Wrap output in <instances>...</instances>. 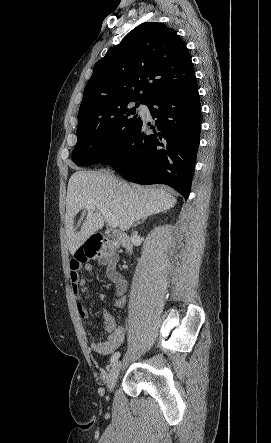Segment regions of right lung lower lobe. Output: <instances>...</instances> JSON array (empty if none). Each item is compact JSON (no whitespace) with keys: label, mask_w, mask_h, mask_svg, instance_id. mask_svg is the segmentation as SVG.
Masks as SVG:
<instances>
[{"label":"right lung lower lobe","mask_w":271,"mask_h":443,"mask_svg":"<svg viewBox=\"0 0 271 443\" xmlns=\"http://www.w3.org/2000/svg\"><path fill=\"white\" fill-rule=\"evenodd\" d=\"M146 105L158 131L147 135L150 124L142 121L104 164L131 182L167 184L187 199L201 130L197 81L164 91Z\"/></svg>","instance_id":"obj_1"}]
</instances>
